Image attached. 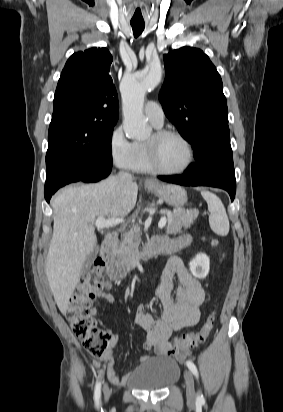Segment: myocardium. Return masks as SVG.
Segmentation results:
<instances>
[{"label": "myocardium", "instance_id": "f54148a6", "mask_svg": "<svg viewBox=\"0 0 283 412\" xmlns=\"http://www.w3.org/2000/svg\"><path fill=\"white\" fill-rule=\"evenodd\" d=\"M173 136L179 139L187 148L188 151V159L185 165L177 170H166L160 167L158 160H157V148L160 140L165 137ZM146 152L148 162L153 170V172L162 174V175H179L185 173L193 164L194 162V148L191 142L180 132L173 130V129H157L152 134L151 138L145 142Z\"/></svg>", "mask_w": 283, "mask_h": 412}]
</instances>
